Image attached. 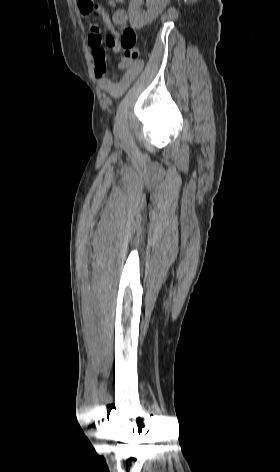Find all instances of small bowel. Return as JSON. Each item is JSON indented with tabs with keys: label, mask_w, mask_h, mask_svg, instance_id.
Returning a JSON list of instances; mask_svg holds the SVG:
<instances>
[{
	"label": "small bowel",
	"mask_w": 280,
	"mask_h": 472,
	"mask_svg": "<svg viewBox=\"0 0 280 472\" xmlns=\"http://www.w3.org/2000/svg\"><path fill=\"white\" fill-rule=\"evenodd\" d=\"M88 0H79L78 7L83 16L90 15L93 11L98 19L106 26L109 34L103 37L100 28L93 24L88 37V43L93 51L94 75L97 78L98 87L105 90L116 99L121 97L138 77L143 69L144 63L140 59H130L122 57L118 63L121 74L109 77L106 75V51L112 50L118 53L121 50L120 38L117 28L125 30L127 27L128 13L124 8H117L108 14L104 8L94 6L92 9L86 7ZM110 4H115L121 0H107Z\"/></svg>",
	"instance_id": "c3829d8e"
}]
</instances>
